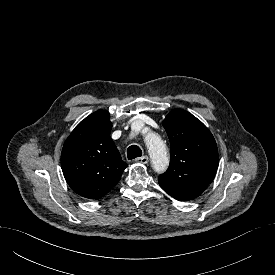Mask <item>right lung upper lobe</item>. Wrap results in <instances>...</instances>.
Instances as JSON below:
<instances>
[{
  "instance_id": "obj_1",
  "label": "right lung upper lobe",
  "mask_w": 275,
  "mask_h": 275,
  "mask_svg": "<svg viewBox=\"0 0 275 275\" xmlns=\"http://www.w3.org/2000/svg\"><path fill=\"white\" fill-rule=\"evenodd\" d=\"M111 128L109 112L99 110L81 121L64 143L62 171L80 196L100 199L119 182L127 167L110 137Z\"/></svg>"
}]
</instances>
